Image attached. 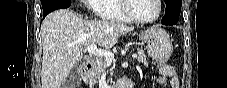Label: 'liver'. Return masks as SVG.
I'll return each mask as SVG.
<instances>
[{
	"instance_id": "6515ba94",
	"label": "liver",
	"mask_w": 227,
	"mask_h": 88,
	"mask_svg": "<svg viewBox=\"0 0 227 88\" xmlns=\"http://www.w3.org/2000/svg\"><path fill=\"white\" fill-rule=\"evenodd\" d=\"M134 30L111 21H86L71 10L50 13L41 24L43 48L42 88H61L82 59L83 47L96 44L111 48L120 36Z\"/></svg>"
}]
</instances>
